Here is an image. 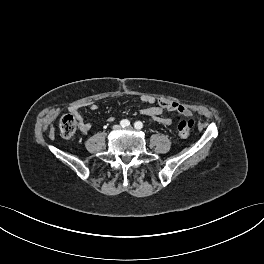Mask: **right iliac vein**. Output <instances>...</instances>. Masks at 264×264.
Wrapping results in <instances>:
<instances>
[{
	"label": "right iliac vein",
	"instance_id": "63e3f726",
	"mask_svg": "<svg viewBox=\"0 0 264 264\" xmlns=\"http://www.w3.org/2000/svg\"><path fill=\"white\" fill-rule=\"evenodd\" d=\"M120 128H121L120 125H114V126H113V129H114V130H119Z\"/></svg>",
	"mask_w": 264,
	"mask_h": 264
}]
</instances>
